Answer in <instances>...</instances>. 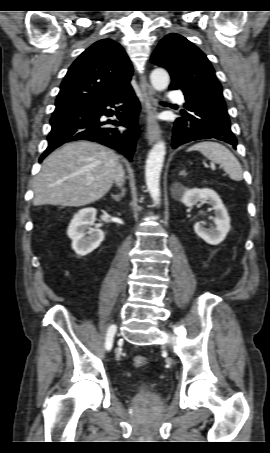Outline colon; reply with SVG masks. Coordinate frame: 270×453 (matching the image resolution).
<instances>
[{"label": "colon", "instance_id": "colon-1", "mask_svg": "<svg viewBox=\"0 0 270 453\" xmlns=\"http://www.w3.org/2000/svg\"><path fill=\"white\" fill-rule=\"evenodd\" d=\"M149 363V360L146 356H143V355H138L134 358V366L136 368H144L148 365Z\"/></svg>", "mask_w": 270, "mask_h": 453}]
</instances>
